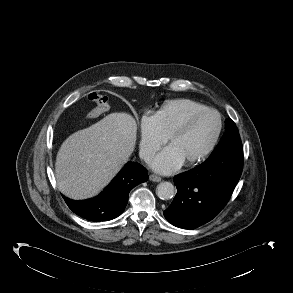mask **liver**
<instances>
[{
  "instance_id": "1",
  "label": "liver",
  "mask_w": 293,
  "mask_h": 293,
  "mask_svg": "<svg viewBox=\"0 0 293 293\" xmlns=\"http://www.w3.org/2000/svg\"><path fill=\"white\" fill-rule=\"evenodd\" d=\"M136 133L135 119L122 112L70 135L56 158L59 190L75 200L97 195L134 151Z\"/></svg>"
}]
</instances>
